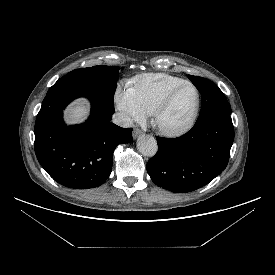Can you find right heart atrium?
<instances>
[{
    "mask_svg": "<svg viewBox=\"0 0 275 275\" xmlns=\"http://www.w3.org/2000/svg\"><path fill=\"white\" fill-rule=\"evenodd\" d=\"M115 102L126 122L140 121L146 115L137 101L134 88L131 86L119 87L115 94Z\"/></svg>",
    "mask_w": 275,
    "mask_h": 275,
    "instance_id": "obj_1",
    "label": "right heart atrium"
}]
</instances>
